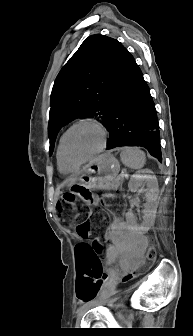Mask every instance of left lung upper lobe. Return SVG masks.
Instances as JSON below:
<instances>
[{
    "label": "left lung upper lobe",
    "mask_w": 193,
    "mask_h": 336,
    "mask_svg": "<svg viewBox=\"0 0 193 336\" xmlns=\"http://www.w3.org/2000/svg\"><path fill=\"white\" fill-rule=\"evenodd\" d=\"M127 50L105 35L88 37L59 72L51 93V155L59 130L75 118L108 121Z\"/></svg>",
    "instance_id": "left-lung-upper-lobe-1"
}]
</instances>
